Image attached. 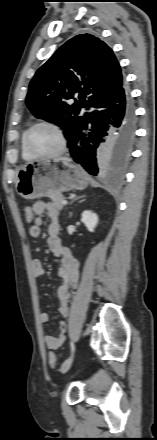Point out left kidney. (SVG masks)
<instances>
[{
	"instance_id": "1",
	"label": "left kidney",
	"mask_w": 157,
	"mask_h": 440,
	"mask_svg": "<svg viewBox=\"0 0 157 440\" xmlns=\"http://www.w3.org/2000/svg\"><path fill=\"white\" fill-rule=\"evenodd\" d=\"M81 222L86 226L88 231L94 232L98 224V216L96 213L86 210L81 215Z\"/></svg>"
}]
</instances>
